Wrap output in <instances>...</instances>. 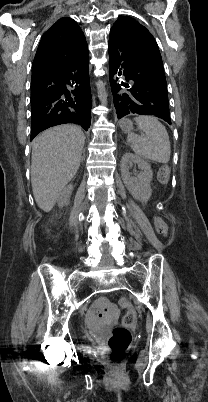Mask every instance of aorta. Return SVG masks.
<instances>
[{
	"label": "aorta",
	"instance_id": "obj_1",
	"mask_svg": "<svg viewBox=\"0 0 208 402\" xmlns=\"http://www.w3.org/2000/svg\"><path fill=\"white\" fill-rule=\"evenodd\" d=\"M97 90H98V98H99L101 104H104V106H106L107 94H106V90L104 88V84H97Z\"/></svg>",
	"mask_w": 208,
	"mask_h": 402
}]
</instances>
